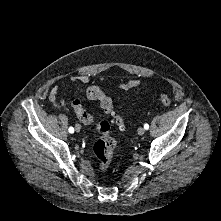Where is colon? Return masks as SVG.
<instances>
[{"instance_id":"5ec220e1","label":"colon","mask_w":221,"mask_h":221,"mask_svg":"<svg viewBox=\"0 0 221 221\" xmlns=\"http://www.w3.org/2000/svg\"><path fill=\"white\" fill-rule=\"evenodd\" d=\"M88 97L99 101L103 111L111 117V122L120 128H125V123L115 108L113 99L106 95L98 86H91L87 90ZM158 102L163 106H169L171 99L166 93H159ZM72 107L78 120L85 125H95L101 137L93 146V152L98 160L99 169L104 172L108 169L111 162L113 151L116 146L115 139L110 135L111 122H96L93 116L82 106L79 100L72 102Z\"/></svg>"}]
</instances>
